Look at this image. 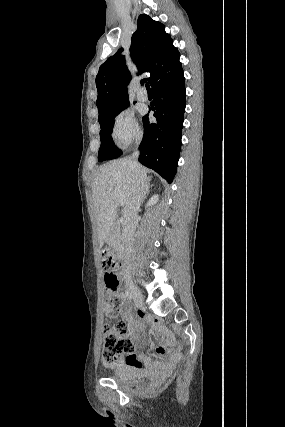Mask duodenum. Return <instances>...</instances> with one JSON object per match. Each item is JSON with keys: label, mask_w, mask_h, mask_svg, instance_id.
Returning a JSON list of instances; mask_svg holds the SVG:
<instances>
[{"label": "duodenum", "mask_w": 285, "mask_h": 427, "mask_svg": "<svg viewBox=\"0 0 285 427\" xmlns=\"http://www.w3.org/2000/svg\"><path fill=\"white\" fill-rule=\"evenodd\" d=\"M120 225H121V221L118 220V221L114 222L110 228L112 229V228L118 227Z\"/></svg>", "instance_id": "1"}]
</instances>
